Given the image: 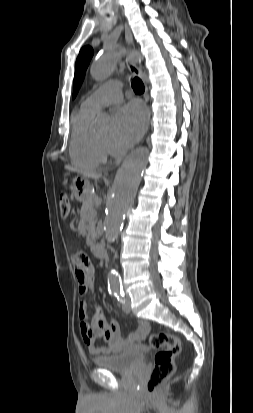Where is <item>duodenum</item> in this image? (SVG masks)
I'll use <instances>...</instances> for the list:
<instances>
[{"instance_id":"410a0bca","label":"duodenum","mask_w":253,"mask_h":413,"mask_svg":"<svg viewBox=\"0 0 253 413\" xmlns=\"http://www.w3.org/2000/svg\"><path fill=\"white\" fill-rule=\"evenodd\" d=\"M91 251L93 255L99 259L104 258L105 256V251L102 245L100 244H94L91 246Z\"/></svg>"}]
</instances>
